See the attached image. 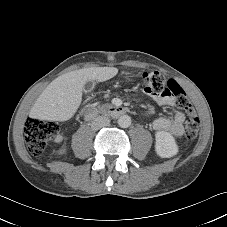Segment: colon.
Here are the masks:
<instances>
[{
    "mask_svg": "<svg viewBox=\"0 0 227 227\" xmlns=\"http://www.w3.org/2000/svg\"><path fill=\"white\" fill-rule=\"evenodd\" d=\"M144 90L149 95H172L176 105L188 114L185 135L194 139L200 127V120L183 88L173 80H166L159 72H144L140 75ZM25 140L31 154L38 156L43 153L49 141L58 136L60 127L55 122L29 119L24 127Z\"/></svg>",
    "mask_w": 227,
    "mask_h": 227,
    "instance_id": "colon-1",
    "label": "colon"
}]
</instances>
